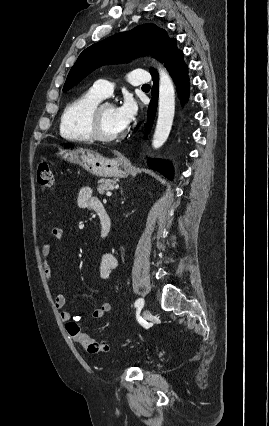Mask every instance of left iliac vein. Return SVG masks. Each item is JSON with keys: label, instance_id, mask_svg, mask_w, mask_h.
<instances>
[{"label": "left iliac vein", "instance_id": "4c4485c4", "mask_svg": "<svg viewBox=\"0 0 269 426\" xmlns=\"http://www.w3.org/2000/svg\"><path fill=\"white\" fill-rule=\"evenodd\" d=\"M143 316L146 320H150L151 319V312L148 310H145L143 313Z\"/></svg>", "mask_w": 269, "mask_h": 426}]
</instances>
